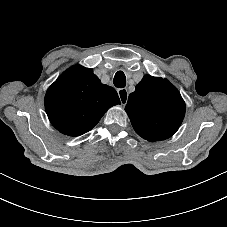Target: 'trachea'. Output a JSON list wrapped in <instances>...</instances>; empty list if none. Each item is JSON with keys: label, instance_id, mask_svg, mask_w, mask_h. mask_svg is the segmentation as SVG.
I'll list each match as a JSON object with an SVG mask.
<instances>
[{"label": "trachea", "instance_id": "3493384b", "mask_svg": "<svg viewBox=\"0 0 227 227\" xmlns=\"http://www.w3.org/2000/svg\"><path fill=\"white\" fill-rule=\"evenodd\" d=\"M113 83L117 88H124L126 86V76L123 71H117Z\"/></svg>", "mask_w": 227, "mask_h": 227}]
</instances>
